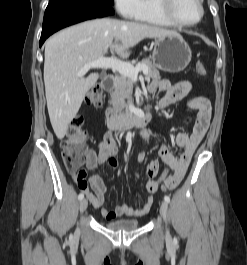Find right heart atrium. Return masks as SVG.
Masks as SVG:
<instances>
[{
	"mask_svg": "<svg viewBox=\"0 0 247 265\" xmlns=\"http://www.w3.org/2000/svg\"><path fill=\"white\" fill-rule=\"evenodd\" d=\"M118 12L127 19H135L141 9V0H114Z\"/></svg>",
	"mask_w": 247,
	"mask_h": 265,
	"instance_id": "obj_1",
	"label": "right heart atrium"
}]
</instances>
